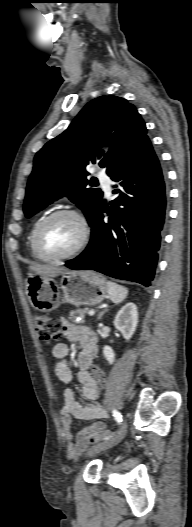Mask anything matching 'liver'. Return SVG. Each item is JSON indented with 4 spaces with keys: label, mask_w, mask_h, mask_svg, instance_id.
<instances>
[{
    "label": "liver",
    "mask_w": 192,
    "mask_h": 527,
    "mask_svg": "<svg viewBox=\"0 0 192 527\" xmlns=\"http://www.w3.org/2000/svg\"><path fill=\"white\" fill-rule=\"evenodd\" d=\"M29 269L35 272L36 275L45 277H55L61 273L68 272V269L64 267H56L51 265L33 264L29 266Z\"/></svg>",
    "instance_id": "1"
}]
</instances>
